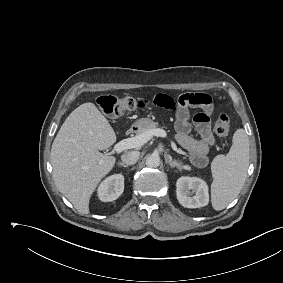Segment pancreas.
Wrapping results in <instances>:
<instances>
[{"label": "pancreas", "mask_w": 283, "mask_h": 283, "mask_svg": "<svg viewBox=\"0 0 283 283\" xmlns=\"http://www.w3.org/2000/svg\"><path fill=\"white\" fill-rule=\"evenodd\" d=\"M159 124L157 122H152L147 128L143 129L142 131L138 132V134L145 133L146 131L157 129Z\"/></svg>", "instance_id": "obj_1"}]
</instances>
